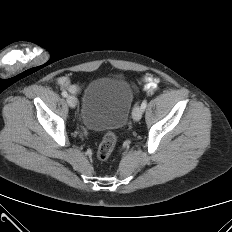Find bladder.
<instances>
[{"label": "bladder", "mask_w": 232, "mask_h": 232, "mask_svg": "<svg viewBox=\"0 0 232 232\" xmlns=\"http://www.w3.org/2000/svg\"><path fill=\"white\" fill-rule=\"evenodd\" d=\"M133 92L123 80L98 78L84 89L81 101V121L95 131L122 128L131 111Z\"/></svg>", "instance_id": "1"}]
</instances>
